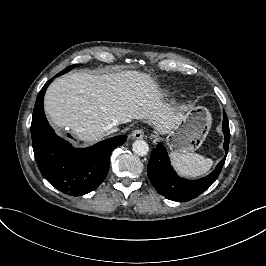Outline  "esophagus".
<instances>
[{
	"label": "esophagus",
	"instance_id": "1",
	"mask_svg": "<svg viewBox=\"0 0 266 266\" xmlns=\"http://www.w3.org/2000/svg\"><path fill=\"white\" fill-rule=\"evenodd\" d=\"M133 139H142L144 137V131L143 130H135L132 134H131Z\"/></svg>",
	"mask_w": 266,
	"mask_h": 266
}]
</instances>
